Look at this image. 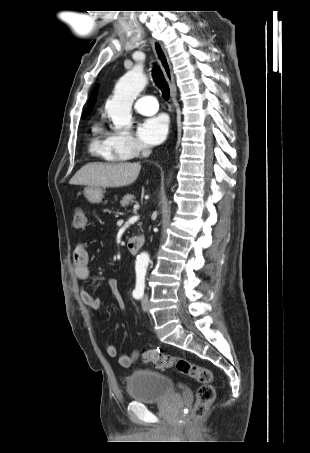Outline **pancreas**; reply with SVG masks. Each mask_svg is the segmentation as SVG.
I'll use <instances>...</instances> for the list:
<instances>
[{"label":"pancreas","instance_id":"1","mask_svg":"<svg viewBox=\"0 0 310 453\" xmlns=\"http://www.w3.org/2000/svg\"><path fill=\"white\" fill-rule=\"evenodd\" d=\"M132 203H134V195L131 194L125 195L123 199L120 201L122 207H127Z\"/></svg>","mask_w":310,"mask_h":453}]
</instances>
